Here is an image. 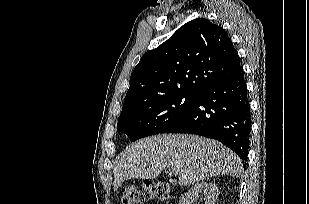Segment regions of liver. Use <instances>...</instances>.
<instances>
[{"mask_svg":"<svg viewBox=\"0 0 309 204\" xmlns=\"http://www.w3.org/2000/svg\"><path fill=\"white\" fill-rule=\"evenodd\" d=\"M169 168L179 175L181 186H190L212 176L239 177L242 161L224 145L208 138L151 136L131 144L123 153L114 170V191L128 179H154Z\"/></svg>","mask_w":309,"mask_h":204,"instance_id":"liver-1","label":"liver"}]
</instances>
